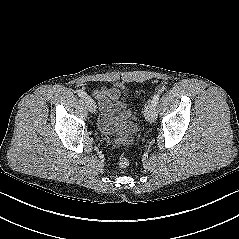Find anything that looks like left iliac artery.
I'll list each match as a JSON object with an SVG mask.
<instances>
[{"label": "left iliac artery", "instance_id": "obj_1", "mask_svg": "<svg viewBox=\"0 0 239 239\" xmlns=\"http://www.w3.org/2000/svg\"><path fill=\"white\" fill-rule=\"evenodd\" d=\"M160 93H157L153 96L152 102L156 105L159 101Z\"/></svg>", "mask_w": 239, "mask_h": 239}]
</instances>
